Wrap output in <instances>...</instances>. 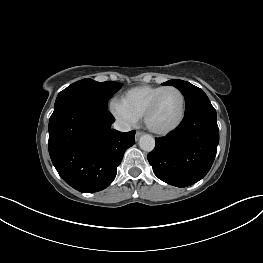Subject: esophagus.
Returning a JSON list of instances; mask_svg holds the SVG:
<instances>
[{
  "instance_id": "1",
  "label": "esophagus",
  "mask_w": 263,
  "mask_h": 263,
  "mask_svg": "<svg viewBox=\"0 0 263 263\" xmlns=\"http://www.w3.org/2000/svg\"><path fill=\"white\" fill-rule=\"evenodd\" d=\"M142 134H143L142 132L137 131L136 134H135V138H136V140H138L139 137H140Z\"/></svg>"
}]
</instances>
